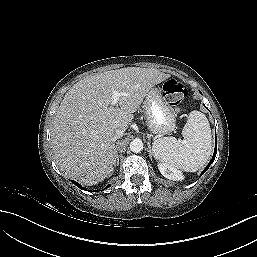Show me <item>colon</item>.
<instances>
[{"instance_id": "colon-1", "label": "colon", "mask_w": 257, "mask_h": 257, "mask_svg": "<svg viewBox=\"0 0 257 257\" xmlns=\"http://www.w3.org/2000/svg\"><path fill=\"white\" fill-rule=\"evenodd\" d=\"M163 92L168 102L176 108L188 96V90L174 80L164 83Z\"/></svg>"}]
</instances>
